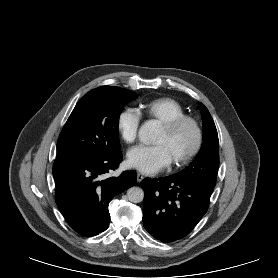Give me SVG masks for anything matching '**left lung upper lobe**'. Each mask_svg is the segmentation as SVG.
<instances>
[{"instance_id":"obj_1","label":"left lung upper lobe","mask_w":278,"mask_h":278,"mask_svg":"<svg viewBox=\"0 0 278 278\" xmlns=\"http://www.w3.org/2000/svg\"><path fill=\"white\" fill-rule=\"evenodd\" d=\"M203 120V144L194 161L184 170L171 175L178 180L196 181L215 186L219 167V141L208 109L199 103Z\"/></svg>"}]
</instances>
